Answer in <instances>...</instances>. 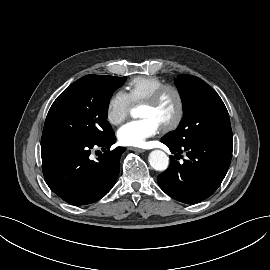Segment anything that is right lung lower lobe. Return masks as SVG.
<instances>
[{
	"label": "right lung lower lobe",
	"mask_w": 270,
	"mask_h": 270,
	"mask_svg": "<svg viewBox=\"0 0 270 270\" xmlns=\"http://www.w3.org/2000/svg\"><path fill=\"white\" fill-rule=\"evenodd\" d=\"M114 133L98 143L67 139H42L41 156L44 179L49 188L72 205L98 201L114 186L120 157L126 150L117 147ZM101 147L105 152L97 161L91 160V150Z\"/></svg>",
	"instance_id": "right-lung-lower-lobe-1"
}]
</instances>
